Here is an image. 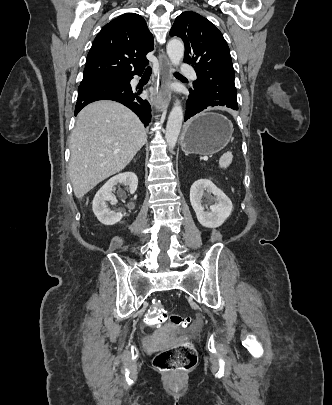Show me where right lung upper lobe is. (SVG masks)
<instances>
[{
  "label": "right lung upper lobe",
  "instance_id": "obj_1",
  "mask_svg": "<svg viewBox=\"0 0 332 405\" xmlns=\"http://www.w3.org/2000/svg\"><path fill=\"white\" fill-rule=\"evenodd\" d=\"M153 35L142 16L126 13L106 24L87 55L83 77L126 76L143 71Z\"/></svg>",
  "mask_w": 332,
  "mask_h": 405
}]
</instances>
